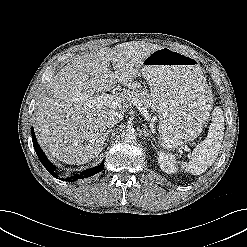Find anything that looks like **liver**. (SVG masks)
<instances>
[{
  "mask_svg": "<svg viewBox=\"0 0 247 247\" xmlns=\"http://www.w3.org/2000/svg\"><path fill=\"white\" fill-rule=\"evenodd\" d=\"M161 46L126 42L114 48L77 55L45 87L35 110L40 146L67 164H86L98 157L106 141L105 117L116 108L93 99L117 83L130 86L143 60ZM112 64L114 72L108 68ZM125 103L127 91L117 97Z\"/></svg>",
  "mask_w": 247,
  "mask_h": 247,
  "instance_id": "6515ba94",
  "label": "liver"
}]
</instances>
